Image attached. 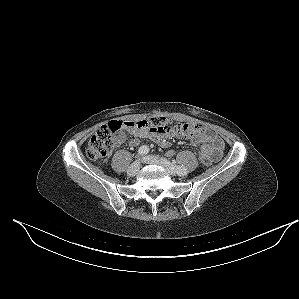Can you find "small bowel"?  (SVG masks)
Here are the masks:
<instances>
[{"instance_id":"1","label":"small bowel","mask_w":299,"mask_h":299,"mask_svg":"<svg viewBox=\"0 0 299 299\" xmlns=\"http://www.w3.org/2000/svg\"><path fill=\"white\" fill-rule=\"evenodd\" d=\"M133 134L134 138L130 141L131 145H137L139 138L151 137L156 139L162 147H167L169 145L168 141L165 139L166 136H171L166 133H158L148 129H138V128H127ZM190 141L193 144H202L201 148L210 158L211 162L217 161L220 159L223 150H224V141L220 136H218L213 131L203 127L201 125L200 129L193 132L190 136ZM123 137L120 136L116 139L115 145L120 144L123 141ZM169 155H173V152L170 151Z\"/></svg>"}]
</instances>
